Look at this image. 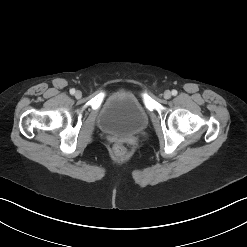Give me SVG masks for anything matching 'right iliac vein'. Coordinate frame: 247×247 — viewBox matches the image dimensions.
Returning a JSON list of instances; mask_svg holds the SVG:
<instances>
[{
	"instance_id": "obj_1",
	"label": "right iliac vein",
	"mask_w": 247,
	"mask_h": 247,
	"mask_svg": "<svg viewBox=\"0 0 247 247\" xmlns=\"http://www.w3.org/2000/svg\"><path fill=\"white\" fill-rule=\"evenodd\" d=\"M75 97H76L77 99L81 98V97H82V92H81V91H76Z\"/></svg>"
}]
</instances>
